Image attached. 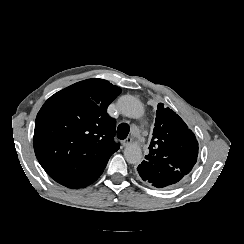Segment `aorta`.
Here are the masks:
<instances>
[{"instance_id":"aorta-1","label":"aorta","mask_w":244,"mask_h":244,"mask_svg":"<svg viewBox=\"0 0 244 244\" xmlns=\"http://www.w3.org/2000/svg\"><path fill=\"white\" fill-rule=\"evenodd\" d=\"M120 112L129 118H140L144 114L142 103L133 96L124 95L118 99ZM124 156L130 164H140L142 161V151L137 143L129 144L124 150Z\"/></svg>"}]
</instances>
